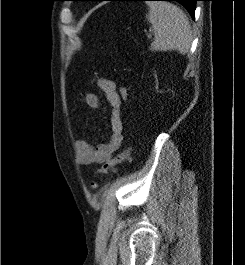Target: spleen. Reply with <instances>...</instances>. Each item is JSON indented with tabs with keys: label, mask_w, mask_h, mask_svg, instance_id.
<instances>
[{
	"label": "spleen",
	"mask_w": 245,
	"mask_h": 265,
	"mask_svg": "<svg viewBox=\"0 0 245 265\" xmlns=\"http://www.w3.org/2000/svg\"><path fill=\"white\" fill-rule=\"evenodd\" d=\"M146 5L149 7L146 19L154 30V41L150 49L188 53L192 42V32L188 17L182 9L165 1H149Z\"/></svg>",
	"instance_id": "1"
}]
</instances>
